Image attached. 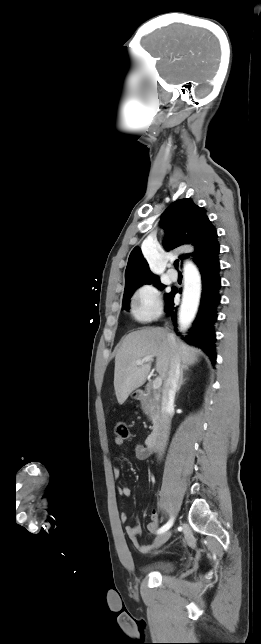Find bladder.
<instances>
[{"instance_id":"obj_1","label":"bladder","mask_w":261,"mask_h":644,"mask_svg":"<svg viewBox=\"0 0 261 644\" xmlns=\"http://www.w3.org/2000/svg\"><path fill=\"white\" fill-rule=\"evenodd\" d=\"M173 568V564L169 560H159L156 561L152 564L146 565L142 567V571L144 572H161V573H166L171 571Z\"/></svg>"}]
</instances>
